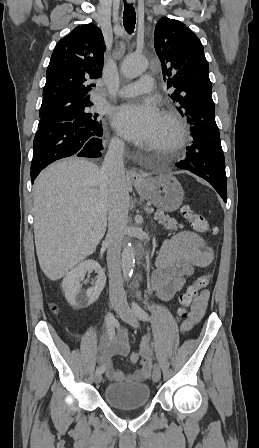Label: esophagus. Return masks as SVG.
<instances>
[{"instance_id":"34e87169","label":"esophagus","mask_w":259,"mask_h":448,"mask_svg":"<svg viewBox=\"0 0 259 448\" xmlns=\"http://www.w3.org/2000/svg\"><path fill=\"white\" fill-rule=\"evenodd\" d=\"M127 1L130 2V3H133L135 0H127ZM130 176H131L133 182H139V181H141L143 175L137 169L132 168L130 170Z\"/></svg>"}]
</instances>
